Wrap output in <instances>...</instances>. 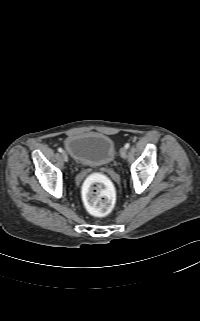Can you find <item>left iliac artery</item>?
Masks as SVG:
<instances>
[{
	"label": "left iliac artery",
	"instance_id": "44dca946",
	"mask_svg": "<svg viewBox=\"0 0 200 321\" xmlns=\"http://www.w3.org/2000/svg\"><path fill=\"white\" fill-rule=\"evenodd\" d=\"M130 147V144L129 143H126L125 144V148L128 149Z\"/></svg>",
	"mask_w": 200,
	"mask_h": 321
}]
</instances>
